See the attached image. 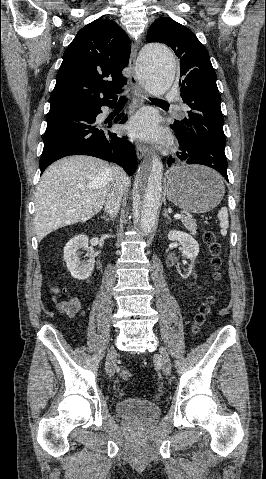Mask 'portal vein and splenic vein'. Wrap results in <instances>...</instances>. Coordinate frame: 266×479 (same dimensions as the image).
Masks as SVG:
<instances>
[{
  "instance_id": "obj_1",
  "label": "portal vein and splenic vein",
  "mask_w": 266,
  "mask_h": 479,
  "mask_svg": "<svg viewBox=\"0 0 266 479\" xmlns=\"http://www.w3.org/2000/svg\"><path fill=\"white\" fill-rule=\"evenodd\" d=\"M90 201H91L90 199L87 200V202H90ZM174 218H175V219H181V218H182V215H181V214H175V215H174Z\"/></svg>"
}]
</instances>
